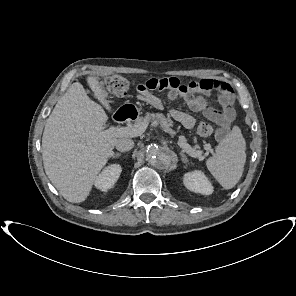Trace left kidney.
<instances>
[{"instance_id":"1","label":"left kidney","mask_w":296,"mask_h":296,"mask_svg":"<svg viewBox=\"0 0 296 296\" xmlns=\"http://www.w3.org/2000/svg\"><path fill=\"white\" fill-rule=\"evenodd\" d=\"M183 183L190 191L204 195H210L213 193L212 184L201 171L195 170L193 172L186 173L183 177Z\"/></svg>"}]
</instances>
